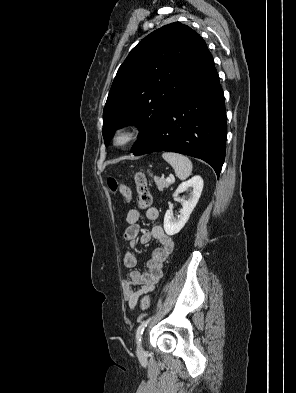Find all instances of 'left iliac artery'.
<instances>
[{
  "mask_svg": "<svg viewBox=\"0 0 296 393\" xmlns=\"http://www.w3.org/2000/svg\"><path fill=\"white\" fill-rule=\"evenodd\" d=\"M153 318V317H152ZM152 318L147 319L146 321H143L140 326L137 328V332H136V339L137 342L141 341V335L143 334V331L145 329V327L147 326V324L150 322V320Z\"/></svg>",
  "mask_w": 296,
  "mask_h": 393,
  "instance_id": "left-iliac-artery-1",
  "label": "left iliac artery"
}]
</instances>
